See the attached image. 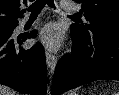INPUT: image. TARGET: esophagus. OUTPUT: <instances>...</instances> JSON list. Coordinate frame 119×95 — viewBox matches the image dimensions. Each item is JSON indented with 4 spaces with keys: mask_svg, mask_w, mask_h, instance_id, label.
<instances>
[{
    "mask_svg": "<svg viewBox=\"0 0 119 95\" xmlns=\"http://www.w3.org/2000/svg\"><path fill=\"white\" fill-rule=\"evenodd\" d=\"M45 56H46V64H47L48 72L50 75H52L55 71V67L57 64V58L55 55H53L49 51H46Z\"/></svg>",
    "mask_w": 119,
    "mask_h": 95,
    "instance_id": "esophagus-1",
    "label": "esophagus"
}]
</instances>
